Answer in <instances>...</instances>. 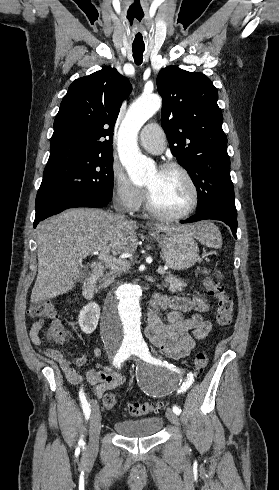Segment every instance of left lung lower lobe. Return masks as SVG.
Returning a JSON list of instances; mask_svg holds the SVG:
<instances>
[{
    "label": "left lung lower lobe",
    "instance_id": "1",
    "mask_svg": "<svg viewBox=\"0 0 279 490\" xmlns=\"http://www.w3.org/2000/svg\"><path fill=\"white\" fill-rule=\"evenodd\" d=\"M206 219H214V220H220L226 223L230 228L231 231L236 238V231H237V213L232 214L227 211L221 210V209H216V208H211L204 210L202 212L196 213L194 216L188 218L187 220L181 221V223H191V222H196L200 220H206Z\"/></svg>",
    "mask_w": 279,
    "mask_h": 490
}]
</instances>
